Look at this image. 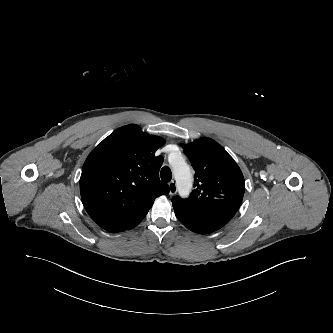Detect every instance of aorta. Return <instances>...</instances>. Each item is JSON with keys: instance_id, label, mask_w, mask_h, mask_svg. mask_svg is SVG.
Listing matches in <instances>:
<instances>
[{"instance_id": "762f6f07", "label": "aorta", "mask_w": 333, "mask_h": 333, "mask_svg": "<svg viewBox=\"0 0 333 333\" xmlns=\"http://www.w3.org/2000/svg\"><path fill=\"white\" fill-rule=\"evenodd\" d=\"M171 165L178 192L181 197L186 198L190 194L192 186V173L190 167L181 155L175 156Z\"/></svg>"}]
</instances>
